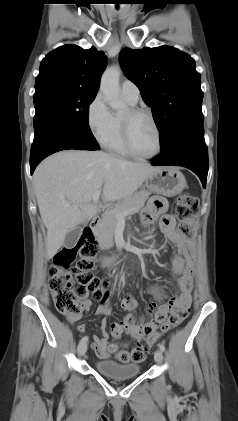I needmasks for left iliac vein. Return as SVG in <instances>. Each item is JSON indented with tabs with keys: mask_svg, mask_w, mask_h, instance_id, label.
<instances>
[{
	"mask_svg": "<svg viewBox=\"0 0 238 421\" xmlns=\"http://www.w3.org/2000/svg\"><path fill=\"white\" fill-rule=\"evenodd\" d=\"M154 359L157 363H161L163 361V354L161 350H156L154 353Z\"/></svg>",
	"mask_w": 238,
	"mask_h": 421,
	"instance_id": "obj_1",
	"label": "left iliac vein"
}]
</instances>
